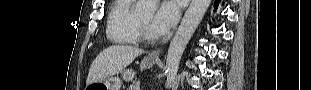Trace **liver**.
Returning a JSON list of instances; mask_svg holds the SVG:
<instances>
[{
    "label": "liver",
    "instance_id": "1",
    "mask_svg": "<svg viewBox=\"0 0 311 90\" xmlns=\"http://www.w3.org/2000/svg\"><path fill=\"white\" fill-rule=\"evenodd\" d=\"M143 53L144 50L128 45H114L104 49L91 64L86 85L118 74Z\"/></svg>",
    "mask_w": 311,
    "mask_h": 90
}]
</instances>
